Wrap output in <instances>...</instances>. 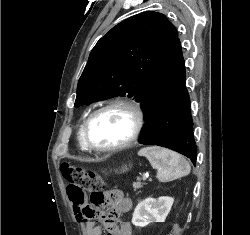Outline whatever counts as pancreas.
Segmentation results:
<instances>
[{"label":"pancreas","instance_id":"pancreas-1","mask_svg":"<svg viewBox=\"0 0 250 235\" xmlns=\"http://www.w3.org/2000/svg\"><path fill=\"white\" fill-rule=\"evenodd\" d=\"M142 187V183L141 182H134L133 183V190L136 191L137 189Z\"/></svg>","mask_w":250,"mask_h":235}]
</instances>
